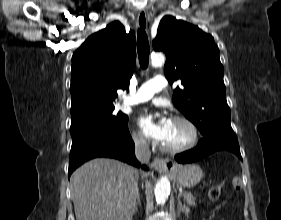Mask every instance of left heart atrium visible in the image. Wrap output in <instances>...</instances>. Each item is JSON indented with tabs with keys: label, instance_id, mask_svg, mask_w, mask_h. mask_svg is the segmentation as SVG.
Segmentation results:
<instances>
[{
	"label": "left heart atrium",
	"instance_id": "1",
	"mask_svg": "<svg viewBox=\"0 0 281 220\" xmlns=\"http://www.w3.org/2000/svg\"><path fill=\"white\" fill-rule=\"evenodd\" d=\"M170 124L171 120L166 116L156 119L152 115H143L140 118V125L145 134L159 142L165 140Z\"/></svg>",
	"mask_w": 281,
	"mask_h": 220
}]
</instances>
